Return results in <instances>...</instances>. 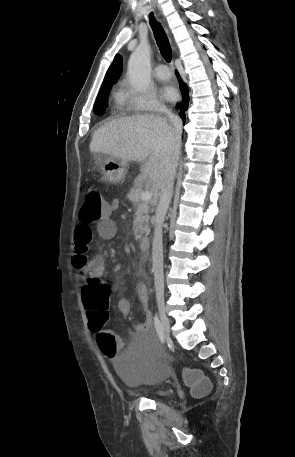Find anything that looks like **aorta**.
<instances>
[{
  "mask_svg": "<svg viewBox=\"0 0 295 457\" xmlns=\"http://www.w3.org/2000/svg\"><path fill=\"white\" fill-rule=\"evenodd\" d=\"M150 53L148 42H141L128 61L130 84L139 93H146L150 87Z\"/></svg>",
  "mask_w": 295,
  "mask_h": 457,
  "instance_id": "aorta-1",
  "label": "aorta"
}]
</instances>
